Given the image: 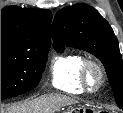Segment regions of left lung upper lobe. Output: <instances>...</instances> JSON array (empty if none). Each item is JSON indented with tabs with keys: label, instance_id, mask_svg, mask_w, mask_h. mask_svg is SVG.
Wrapping results in <instances>:
<instances>
[{
	"label": "left lung upper lobe",
	"instance_id": "1",
	"mask_svg": "<svg viewBox=\"0 0 123 113\" xmlns=\"http://www.w3.org/2000/svg\"><path fill=\"white\" fill-rule=\"evenodd\" d=\"M53 44L83 49L104 64L116 102L123 109V63L116 36L108 22L93 7L76 4L57 12L53 21Z\"/></svg>",
	"mask_w": 123,
	"mask_h": 113
}]
</instances>
